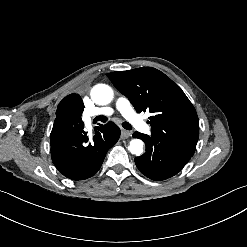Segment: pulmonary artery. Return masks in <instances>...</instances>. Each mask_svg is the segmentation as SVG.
Returning a JSON list of instances; mask_svg holds the SVG:
<instances>
[{"instance_id":"1","label":"pulmonary artery","mask_w":247,"mask_h":247,"mask_svg":"<svg viewBox=\"0 0 247 247\" xmlns=\"http://www.w3.org/2000/svg\"><path fill=\"white\" fill-rule=\"evenodd\" d=\"M118 111L127 120L131 121L137 129H143L140 133H150L151 126L146 123V118L137 114L130 100L125 96H119L115 100V108L105 106L101 108L86 109L83 120L86 126H90L92 119L98 115L111 116Z\"/></svg>"}]
</instances>
